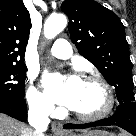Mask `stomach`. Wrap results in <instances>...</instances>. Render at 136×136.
Masks as SVG:
<instances>
[{
  "mask_svg": "<svg viewBox=\"0 0 136 136\" xmlns=\"http://www.w3.org/2000/svg\"><path fill=\"white\" fill-rule=\"evenodd\" d=\"M60 136H113L111 134H109L106 131H101V130H86L84 131L81 135H63L61 134Z\"/></svg>",
  "mask_w": 136,
  "mask_h": 136,
  "instance_id": "stomach-1",
  "label": "stomach"
}]
</instances>
